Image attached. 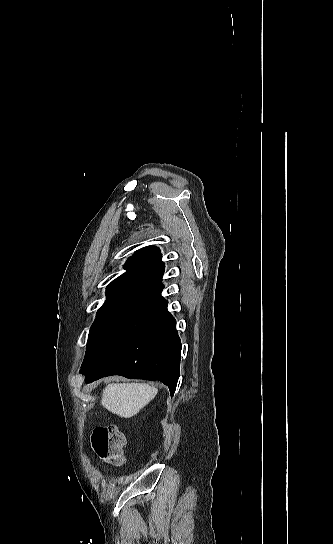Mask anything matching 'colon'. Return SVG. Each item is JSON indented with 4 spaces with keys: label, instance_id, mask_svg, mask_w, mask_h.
Masks as SVG:
<instances>
[{
    "label": "colon",
    "instance_id": "colon-1",
    "mask_svg": "<svg viewBox=\"0 0 333 544\" xmlns=\"http://www.w3.org/2000/svg\"><path fill=\"white\" fill-rule=\"evenodd\" d=\"M124 434L115 426L98 427L91 436L93 450L97 456L114 466L124 463Z\"/></svg>",
    "mask_w": 333,
    "mask_h": 544
}]
</instances>
